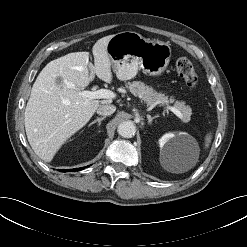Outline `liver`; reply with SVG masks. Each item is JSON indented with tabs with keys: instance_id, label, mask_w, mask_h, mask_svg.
I'll return each mask as SVG.
<instances>
[{
	"instance_id": "1",
	"label": "liver",
	"mask_w": 247,
	"mask_h": 247,
	"mask_svg": "<svg viewBox=\"0 0 247 247\" xmlns=\"http://www.w3.org/2000/svg\"><path fill=\"white\" fill-rule=\"evenodd\" d=\"M113 35L92 48L94 67L88 69L89 52H74L49 62L37 76L25 108V130L34 152L50 162L62 144L87 124L100 105L111 99L88 100L80 95L93 80V71L111 83L107 45Z\"/></svg>"
}]
</instances>
